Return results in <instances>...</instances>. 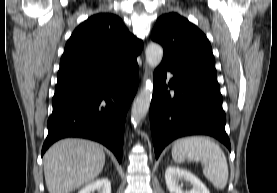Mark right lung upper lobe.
Instances as JSON below:
<instances>
[{"label":"right lung upper lobe","mask_w":277,"mask_h":193,"mask_svg":"<svg viewBox=\"0 0 277 193\" xmlns=\"http://www.w3.org/2000/svg\"><path fill=\"white\" fill-rule=\"evenodd\" d=\"M143 43L114 14H97L80 24L67 41L58 83L97 76L136 59Z\"/></svg>","instance_id":"1"}]
</instances>
